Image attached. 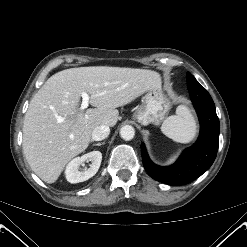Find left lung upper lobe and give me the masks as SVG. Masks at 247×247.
<instances>
[{
    "mask_svg": "<svg viewBox=\"0 0 247 247\" xmlns=\"http://www.w3.org/2000/svg\"><path fill=\"white\" fill-rule=\"evenodd\" d=\"M193 77H194V76H193L191 73H189V72L187 73V80H188V79H192Z\"/></svg>",
    "mask_w": 247,
    "mask_h": 247,
    "instance_id": "obj_1",
    "label": "left lung upper lobe"
}]
</instances>
